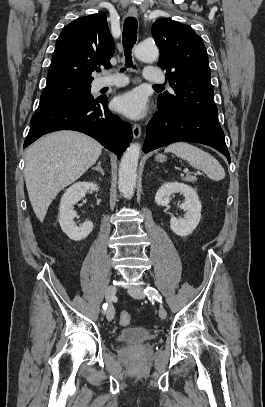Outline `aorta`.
Masks as SVG:
<instances>
[{
	"mask_svg": "<svg viewBox=\"0 0 265 407\" xmlns=\"http://www.w3.org/2000/svg\"><path fill=\"white\" fill-rule=\"evenodd\" d=\"M135 56L143 62H153L159 57V50L153 43L141 42L135 48ZM141 146L138 143L131 144L122 156L119 165L118 187L124 197L134 194L137 166Z\"/></svg>",
	"mask_w": 265,
	"mask_h": 407,
	"instance_id": "1",
	"label": "aorta"
}]
</instances>
